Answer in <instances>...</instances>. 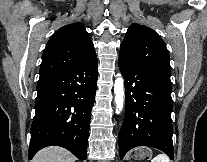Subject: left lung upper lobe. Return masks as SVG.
<instances>
[{
    "mask_svg": "<svg viewBox=\"0 0 207 162\" xmlns=\"http://www.w3.org/2000/svg\"><path fill=\"white\" fill-rule=\"evenodd\" d=\"M119 60L170 76V58L164 41L151 28L132 24L121 43Z\"/></svg>",
    "mask_w": 207,
    "mask_h": 162,
    "instance_id": "left-lung-upper-lobe-1",
    "label": "left lung upper lobe"
}]
</instances>
